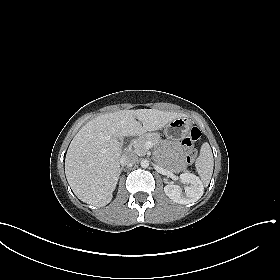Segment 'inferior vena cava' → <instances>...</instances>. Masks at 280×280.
Instances as JSON below:
<instances>
[{"label": "inferior vena cava", "mask_w": 280, "mask_h": 280, "mask_svg": "<svg viewBox=\"0 0 280 280\" xmlns=\"http://www.w3.org/2000/svg\"><path fill=\"white\" fill-rule=\"evenodd\" d=\"M138 162V157L132 153L123 154L120 158L121 166L134 165Z\"/></svg>", "instance_id": "1"}]
</instances>
